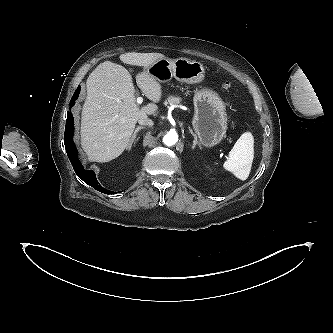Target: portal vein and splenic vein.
Here are the masks:
<instances>
[{"label":"portal vein and splenic vein","instance_id":"1","mask_svg":"<svg viewBox=\"0 0 333 333\" xmlns=\"http://www.w3.org/2000/svg\"><path fill=\"white\" fill-rule=\"evenodd\" d=\"M142 102H143V98H142V97H138V98H137V103H138V104H142Z\"/></svg>","mask_w":333,"mask_h":333}]
</instances>
